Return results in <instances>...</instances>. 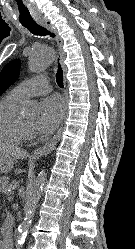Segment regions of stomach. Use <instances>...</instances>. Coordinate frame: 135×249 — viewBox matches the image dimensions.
Returning a JSON list of instances; mask_svg holds the SVG:
<instances>
[{
  "mask_svg": "<svg viewBox=\"0 0 135 249\" xmlns=\"http://www.w3.org/2000/svg\"><path fill=\"white\" fill-rule=\"evenodd\" d=\"M14 164V159L11 156L0 152V174L8 173Z\"/></svg>",
  "mask_w": 135,
  "mask_h": 249,
  "instance_id": "1",
  "label": "stomach"
}]
</instances>
